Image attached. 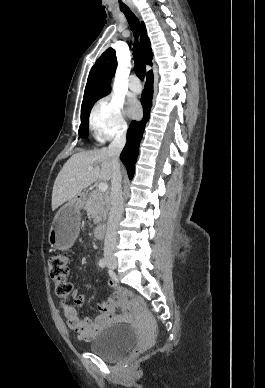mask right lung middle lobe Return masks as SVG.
<instances>
[{"mask_svg": "<svg viewBox=\"0 0 265 388\" xmlns=\"http://www.w3.org/2000/svg\"><path fill=\"white\" fill-rule=\"evenodd\" d=\"M109 93L110 92L105 93V94H101V95H97L95 97H92L91 99L87 100L85 103L82 104V107H81V124H80V127H79V137H82V138H86L87 137L88 128H89V115H90V111H91L94 103L98 99L106 96Z\"/></svg>", "mask_w": 265, "mask_h": 388, "instance_id": "dd1d6c3e", "label": "right lung middle lobe"}]
</instances>
